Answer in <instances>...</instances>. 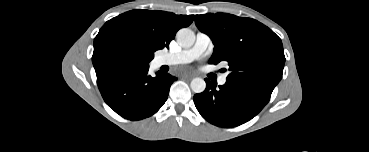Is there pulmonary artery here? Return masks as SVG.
Segmentation results:
<instances>
[{
  "label": "pulmonary artery",
  "instance_id": "obj_1",
  "mask_svg": "<svg viewBox=\"0 0 369 152\" xmlns=\"http://www.w3.org/2000/svg\"><path fill=\"white\" fill-rule=\"evenodd\" d=\"M213 47L214 45L211 38L207 34L200 32L197 34L196 41L191 48L161 55L156 62L159 66L187 64L201 55L211 53ZM218 82L220 85H224L226 83V75L220 76Z\"/></svg>",
  "mask_w": 369,
  "mask_h": 152
}]
</instances>
